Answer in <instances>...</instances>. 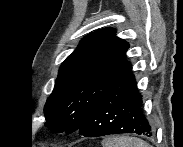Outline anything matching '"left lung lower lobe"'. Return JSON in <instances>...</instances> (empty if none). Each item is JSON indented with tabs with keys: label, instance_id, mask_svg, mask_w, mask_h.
Segmentation results:
<instances>
[{
	"label": "left lung lower lobe",
	"instance_id": "left-lung-lower-lobe-1",
	"mask_svg": "<svg viewBox=\"0 0 183 147\" xmlns=\"http://www.w3.org/2000/svg\"><path fill=\"white\" fill-rule=\"evenodd\" d=\"M153 132L143 114L142 95L131 71L101 96L78 129V133L85 137L120 133L150 137Z\"/></svg>",
	"mask_w": 183,
	"mask_h": 147
}]
</instances>
